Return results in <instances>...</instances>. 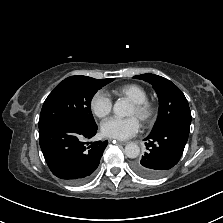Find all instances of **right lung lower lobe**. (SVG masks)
Here are the masks:
<instances>
[{
    "mask_svg": "<svg viewBox=\"0 0 223 223\" xmlns=\"http://www.w3.org/2000/svg\"><path fill=\"white\" fill-rule=\"evenodd\" d=\"M97 125L88 127L73 120H57L39 127V142L51 172L71 183L87 182L97 169L108 141L88 143Z\"/></svg>",
    "mask_w": 223,
    "mask_h": 223,
    "instance_id": "obj_1",
    "label": "right lung lower lobe"
}]
</instances>
